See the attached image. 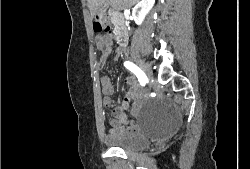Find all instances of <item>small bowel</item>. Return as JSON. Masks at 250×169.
<instances>
[{
  "mask_svg": "<svg viewBox=\"0 0 250 169\" xmlns=\"http://www.w3.org/2000/svg\"><path fill=\"white\" fill-rule=\"evenodd\" d=\"M96 44L101 51L102 58H100L98 65L101 67L106 63L108 55L111 51V41L106 36H97ZM120 57V55H118ZM103 93H104V104L111 106V97L114 94V87L110 77H103L101 80ZM128 85V91L122 99V105L112 108L113 119L111 121V130L114 134L129 135L135 130L133 122L129 121L125 113L126 108L132 104L138 106L142 103L143 90L138 83L136 77L128 76L126 78Z\"/></svg>",
  "mask_w": 250,
  "mask_h": 169,
  "instance_id": "obj_1",
  "label": "small bowel"
}]
</instances>
